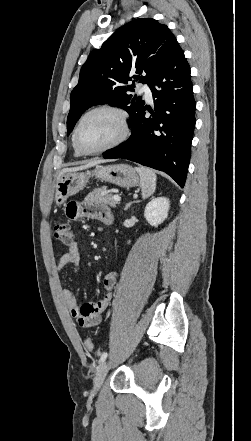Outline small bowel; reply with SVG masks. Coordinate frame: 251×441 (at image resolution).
<instances>
[{"label":"small bowel","mask_w":251,"mask_h":441,"mask_svg":"<svg viewBox=\"0 0 251 441\" xmlns=\"http://www.w3.org/2000/svg\"><path fill=\"white\" fill-rule=\"evenodd\" d=\"M67 216L72 220L81 218L96 219L104 224L113 222V215L108 208L91 201H72L66 208ZM81 262L79 245L76 241H71L67 246V252L64 253L57 265L59 272L65 270L68 265H73L77 272ZM116 272L107 271L103 276V286L106 290L105 296L97 301H90L78 305L76 297L69 289L62 290V298L69 310L70 315L83 328H90L100 323L103 312L107 309L112 298V291L116 284Z\"/></svg>","instance_id":"c3829d8e"}]
</instances>
